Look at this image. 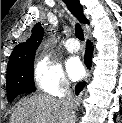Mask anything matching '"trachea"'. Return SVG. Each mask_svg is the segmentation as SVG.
I'll return each instance as SVG.
<instances>
[{
    "label": "trachea",
    "mask_w": 122,
    "mask_h": 123,
    "mask_svg": "<svg viewBox=\"0 0 122 123\" xmlns=\"http://www.w3.org/2000/svg\"><path fill=\"white\" fill-rule=\"evenodd\" d=\"M75 35L81 41L84 39L83 30L78 23L75 25Z\"/></svg>",
    "instance_id": "3493384b"
}]
</instances>
